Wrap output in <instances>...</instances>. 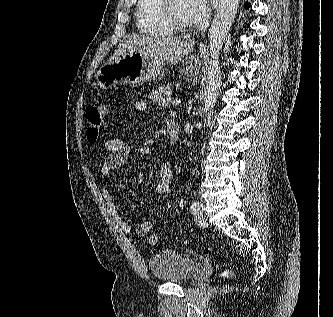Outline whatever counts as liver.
I'll return each instance as SVG.
<instances>
[{
	"label": "liver",
	"mask_w": 333,
	"mask_h": 317,
	"mask_svg": "<svg viewBox=\"0 0 333 317\" xmlns=\"http://www.w3.org/2000/svg\"><path fill=\"white\" fill-rule=\"evenodd\" d=\"M194 44L191 40L132 34L119 43L114 57L140 52L147 57L175 65L191 51Z\"/></svg>",
	"instance_id": "1"
}]
</instances>
